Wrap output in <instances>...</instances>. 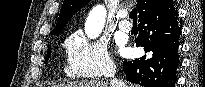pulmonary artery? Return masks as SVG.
<instances>
[{
	"label": "pulmonary artery",
	"instance_id": "e3ab8cb5",
	"mask_svg": "<svg viewBox=\"0 0 205 87\" xmlns=\"http://www.w3.org/2000/svg\"><path fill=\"white\" fill-rule=\"evenodd\" d=\"M119 16H120V21L118 24L119 29L124 32H130L132 29V24L126 19L127 11L125 10L121 11Z\"/></svg>",
	"mask_w": 205,
	"mask_h": 87
}]
</instances>
